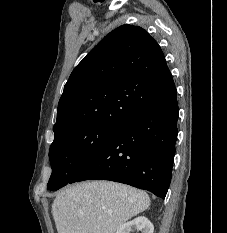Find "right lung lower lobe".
I'll list each match as a JSON object with an SVG mask.
<instances>
[{
  "instance_id": "1",
  "label": "right lung lower lobe",
  "mask_w": 227,
  "mask_h": 233,
  "mask_svg": "<svg viewBox=\"0 0 227 233\" xmlns=\"http://www.w3.org/2000/svg\"><path fill=\"white\" fill-rule=\"evenodd\" d=\"M178 112L175 88L163 100L121 124L69 183L111 180L164 199L171 181Z\"/></svg>"
}]
</instances>
